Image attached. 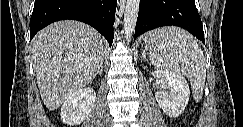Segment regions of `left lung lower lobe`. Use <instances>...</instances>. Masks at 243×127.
I'll list each match as a JSON object with an SVG mask.
<instances>
[{
	"label": "left lung lower lobe",
	"instance_id": "obj_1",
	"mask_svg": "<svg viewBox=\"0 0 243 127\" xmlns=\"http://www.w3.org/2000/svg\"><path fill=\"white\" fill-rule=\"evenodd\" d=\"M162 26H179L205 42L194 0H141L134 40L142 33Z\"/></svg>",
	"mask_w": 243,
	"mask_h": 127
}]
</instances>
